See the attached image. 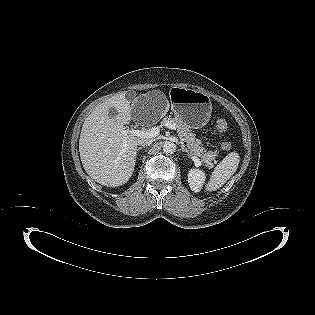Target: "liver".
Instances as JSON below:
<instances>
[{
  "mask_svg": "<svg viewBox=\"0 0 315 315\" xmlns=\"http://www.w3.org/2000/svg\"><path fill=\"white\" fill-rule=\"evenodd\" d=\"M110 108L116 109L115 117L108 115ZM131 112L125 94H118L97 105L82 125L80 159L86 173L101 185L121 186L133 174L139 138L123 134Z\"/></svg>",
  "mask_w": 315,
  "mask_h": 315,
  "instance_id": "6515ba94",
  "label": "liver"
}]
</instances>
